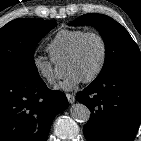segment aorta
<instances>
[{"mask_svg": "<svg viewBox=\"0 0 141 141\" xmlns=\"http://www.w3.org/2000/svg\"><path fill=\"white\" fill-rule=\"evenodd\" d=\"M71 117L81 123H85L90 119V110L82 103L73 104L70 108Z\"/></svg>", "mask_w": 141, "mask_h": 141, "instance_id": "aorta-1", "label": "aorta"}]
</instances>
